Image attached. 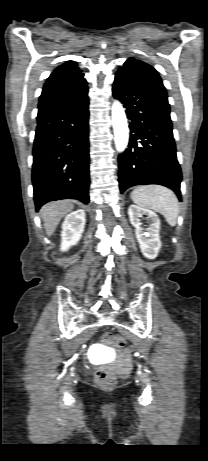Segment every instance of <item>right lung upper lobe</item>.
Segmentation results:
<instances>
[{
  "mask_svg": "<svg viewBox=\"0 0 208 461\" xmlns=\"http://www.w3.org/2000/svg\"><path fill=\"white\" fill-rule=\"evenodd\" d=\"M77 63L67 61L47 78L39 99L38 113H42L81 99L87 92V81Z\"/></svg>",
  "mask_w": 208,
  "mask_h": 461,
  "instance_id": "right-lung-upper-lobe-1",
  "label": "right lung upper lobe"
}]
</instances>
